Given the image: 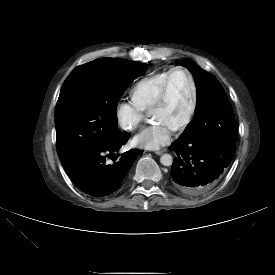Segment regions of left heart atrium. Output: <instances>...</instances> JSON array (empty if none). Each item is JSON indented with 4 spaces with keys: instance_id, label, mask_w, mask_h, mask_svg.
<instances>
[{
    "instance_id": "1",
    "label": "left heart atrium",
    "mask_w": 275,
    "mask_h": 275,
    "mask_svg": "<svg viewBox=\"0 0 275 275\" xmlns=\"http://www.w3.org/2000/svg\"><path fill=\"white\" fill-rule=\"evenodd\" d=\"M173 131L174 128L165 122L154 120L133 138V143L140 148L156 150L169 142Z\"/></svg>"
}]
</instances>
